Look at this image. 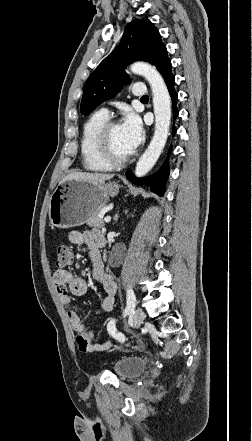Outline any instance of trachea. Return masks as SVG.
I'll return each mask as SVG.
<instances>
[{
	"instance_id": "obj_1",
	"label": "trachea",
	"mask_w": 252,
	"mask_h": 441,
	"mask_svg": "<svg viewBox=\"0 0 252 441\" xmlns=\"http://www.w3.org/2000/svg\"><path fill=\"white\" fill-rule=\"evenodd\" d=\"M146 99H149V97L147 95L141 97V100H146Z\"/></svg>"
}]
</instances>
